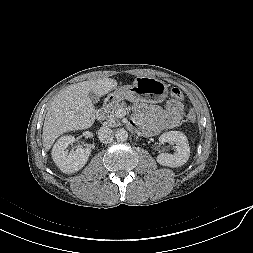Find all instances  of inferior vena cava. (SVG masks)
<instances>
[{
	"mask_svg": "<svg viewBox=\"0 0 253 253\" xmlns=\"http://www.w3.org/2000/svg\"><path fill=\"white\" fill-rule=\"evenodd\" d=\"M114 132L111 128L103 126L98 131L99 140L103 143H109L113 140Z\"/></svg>",
	"mask_w": 253,
	"mask_h": 253,
	"instance_id": "1",
	"label": "inferior vena cava"
}]
</instances>
